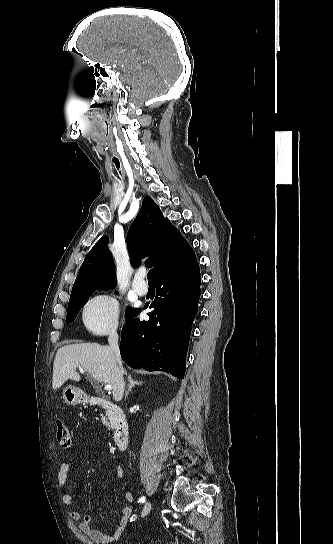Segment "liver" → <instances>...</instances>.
Instances as JSON below:
<instances>
[{
    "mask_svg": "<svg viewBox=\"0 0 333 544\" xmlns=\"http://www.w3.org/2000/svg\"><path fill=\"white\" fill-rule=\"evenodd\" d=\"M78 366L84 368L92 379L110 384L113 399L121 401L125 382L119 372L115 353L109 346L76 343L59 348L53 364V389L60 388L68 379L80 381V375L76 372Z\"/></svg>",
    "mask_w": 333,
    "mask_h": 544,
    "instance_id": "6515ba94",
    "label": "liver"
}]
</instances>
